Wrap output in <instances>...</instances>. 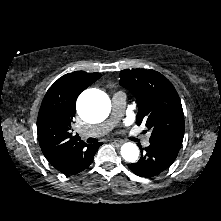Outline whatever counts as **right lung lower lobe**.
<instances>
[{
  "label": "right lung lower lobe",
  "instance_id": "right-lung-lower-lobe-1",
  "mask_svg": "<svg viewBox=\"0 0 221 221\" xmlns=\"http://www.w3.org/2000/svg\"><path fill=\"white\" fill-rule=\"evenodd\" d=\"M101 144L102 143H95L88 145L75 156L74 162L61 172L67 175H74L88 168L93 160L96 150Z\"/></svg>",
  "mask_w": 221,
  "mask_h": 221
}]
</instances>
